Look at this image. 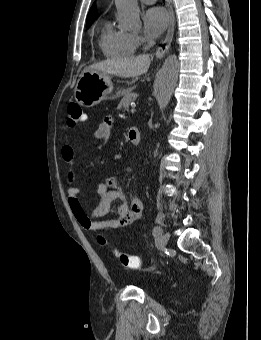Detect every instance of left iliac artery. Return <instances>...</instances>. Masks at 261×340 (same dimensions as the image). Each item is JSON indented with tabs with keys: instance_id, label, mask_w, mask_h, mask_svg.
I'll use <instances>...</instances> for the list:
<instances>
[{
	"instance_id": "obj_1",
	"label": "left iliac artery",
	"mask_w": 261,
	"mask_h": 340,
	"mask_svg": "<svg viewBox=\"0 0 261 340\" xmlns=\"http://www.w3.org/2000/svg\"><path fill=\"white\" fill-rule=\"evenodd\" d=\"M162 234V229L160 227H155L154 230H153V235L155 237H158Z\"/></svg>"
}]
</instances>
